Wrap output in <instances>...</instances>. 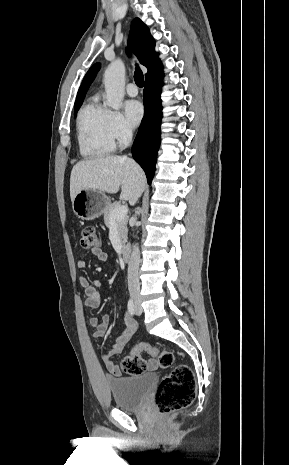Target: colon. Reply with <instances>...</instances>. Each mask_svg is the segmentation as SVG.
Returning a JSON list of instances; mask_svg holds the SVG:
<instances>
[{
    "label": "colon",
    "instance_id": "5ec220e1",
    "mask_svg": "<svg viewBox=\"0 0 289 465\" xmlns=\"http://www.w3.org/2000/svg\"><path fill=\"white\" fill-rule=\"evenodd\" d=\"M100 238L93 226H84L80 231V246L92 250L98 248ZM142 352L156 353V348L146 343L136 345L130 355L123 359L122 367L130 374H141L145 370V361ZM174 355L171 352H162L159 356L160 365L168 368L174 364ZM196 380L191 368L185 364L176 365L172 371L160 382L156 394L155 404L162 415L189 406L195 396Z\"/></svg>",
    "mask_w": 289,
    "mask_h": 465
}]
</instances>
